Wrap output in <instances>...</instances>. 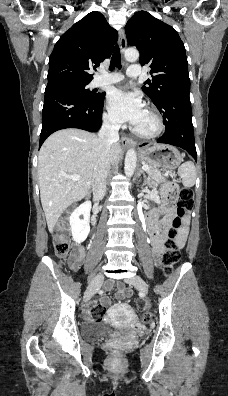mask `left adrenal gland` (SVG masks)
Here are the masks:
<instances>
[{"instance_id": "left-adrenal-gland-1", "label": "left adrenal gland", "mask_w": 228, "mask_h": 396, "mask_svg": "<svg viewBox=\"0 0 228 396\" xmlns=\"http://www.w3.org/2000/svg\"><path fill=\"white\" fill-rule=\"evenodd\" d=\"M141 174H143L144 179H145L144 184H146V183H147V180H148V179L146 178V174H145V172H144L141 168H139L138 173H137V176L139 177Z\"/></svg>"}]
</instances>
